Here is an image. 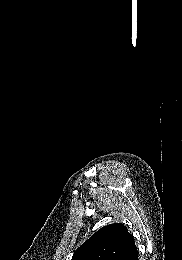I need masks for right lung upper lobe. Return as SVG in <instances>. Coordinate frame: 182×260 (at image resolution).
I'll use <instances>...</instances> for the list:
<instances>
[{
    "instance_id": "right-lung-upper-lobe-1",
    "label": "right lung upper lobe",
    "mask_w": 182,
    "mask_h": 260,
    "mask_svg": "<svg viewBox=\"0 0 182 260\" xmlns=\"http://www.w3.org/2000/svg\"><path fill=\"white\" fill-rule=\"evenodd\" d=\"M138 251L133 236L121 223L99 229L73 254L72 260H135Z\"/></svg>"
}]
</instances>
